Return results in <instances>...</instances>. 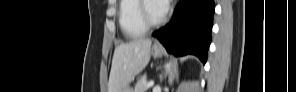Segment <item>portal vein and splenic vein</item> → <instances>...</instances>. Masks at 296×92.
<instances>
[{
	"mask_svg": "<svg viewBox=\"0 0 296 92\" xmlns=\"http://www.w3.org/2000/svg\"><path fill=\"white\" fill-rule=\"evenodd\" d=\"M154 85V81H150L149 83H147V87H152Z\"/></svg>",
	"mask_w": 296,
	"mask_h": 92,
	"instance_id": "obj_1",
	"label": "portal vein and splenic vein"
}]
</instances>
